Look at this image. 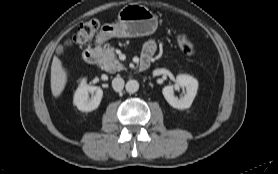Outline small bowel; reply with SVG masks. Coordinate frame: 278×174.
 <instances>
[{"mask_svg":"<svg viewBox=\"0 0 278 174\" xmlns=\"http://www.w3.org/2000/svg\"><path fill=\"white\" fill-rule=\"evenodd\" d=\"M156 43L153 40H149L144 45L143 57L150 58L156 51Z\"/></svg>","mask_w":278,"mask_h":174,"instance_id":"obj_1","label":"small bowel"}]
</instances>
